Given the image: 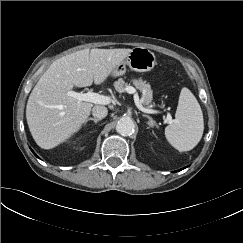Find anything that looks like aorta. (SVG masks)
Returning <instances> with one entry per match:
<instances>
[{
  "label": "aorta",
  "mask_w": 243,
  "mask_h": 243,
  "mask_svg": "<svg viewBox=\"0 0 243 243\" xmlns=\"http://www.w3.org/2000/svg\"><path fill=\"white\" fill-rule=\"evenodd\" d=\"M135 124L130 117H122L116 125V131L123 135L128 136L134 132Z\"/></svg>",
  "instance_id": "762f6f07"
}]
</instances>
